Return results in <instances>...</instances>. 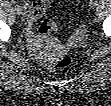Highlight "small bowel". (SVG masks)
Masks as SVG:
<instances>
[{
    "mask_svg": "<svg viewBox=\"0 0 111 106\" xmlns=\"http://www.w3.org/2000/svg\"><path fill=\"white\" fill-rule=\"evenodd\" d=\"M48 1H36V0H26L24 1V7L27 12V22H28V29L27 33L30 38H34V32L32 25L36 21V19L41 16L44 11L46 10V6Z\"/></svg>",
    "mask_w": 111,
    "mask_h": 106,
    "instance_id": "1",
    "label": "small bowel"
}]
</instances>
